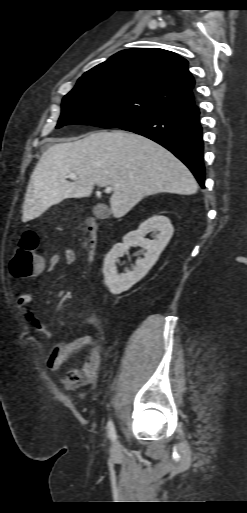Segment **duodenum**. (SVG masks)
I'll list each match as a JSON object with an SVG mask.
<instances>
[{"label": "duodenum", "mask_w": 247, "mask_h": 513, "mask_svg": "<svg viewBox=\"0 0 247 513\" xmlns=\"http://www.w3.org/2000/svg\"><path fill=\"white\" fill-rule=\"evenodd\" d=\"M85 231L88 235V254L94 259L97 249L98 225L93 218H88L85 223Z\"/></svg>", "instance_id": "obj_1"}]
</instances>
